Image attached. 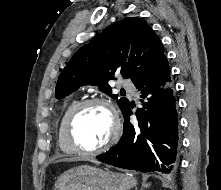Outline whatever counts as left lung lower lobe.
<instances>
[{
  "instance_id": "left-lung-lower-lobe-1",
  "label": "left lung lower lobe",
  "mask_w": 221,
  "mask_h": 190,
  "mask_svg": "<svg viewBox=\"0 0 221 190\" xmlns=\"http://www.w3.org/2000/svg\"><path fill=\"white\" fill-rule=\"evenodd\" d=\"M141 93L142 108L130 123L131 106L123 113L124 131L120 141L98 155L100 161L141 172L172 174L178 167L179 124L170 67L166 56L134 84Z\"/></svg>"
}]
</instances>
